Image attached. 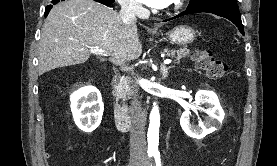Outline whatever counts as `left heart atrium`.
Returning a JSON list of instances; mask_svg holds the SVG:
<instances>
[{
  "label": "left heart atrium",
  "mask_w": 277,
  "mask_h": 166,
  "mask_svg": "<svg viewBox=\"0 0 277 166\" xmlns=\"http://www.w3.org/2000/svg\"><path fill=\"white\" fill-rule=\"evenodd\" d=\"M139 1L146 4L149 7L162 9L168 5L170 0H139Z\"/></svg>",
  "instance_id": "39dd6f15"
}]
</instances>
